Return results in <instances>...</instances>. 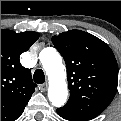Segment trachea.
Returning a JSON list of instances; mask_svg holds the SVG:
<instances>
[{
  "mask_svg": "<svg viewBox=\"0 0 121 121\" xmlns=\"http://www.w3.org/2000/svg\"><path fill=\"white\" fill-rule=\"evenodd\" d=\"M33 77H34V82L37 84H42L45 81V75L42 69H37L34 72Z\"/></svg>",
  "mask_w": 121,
  "mask_h": 121,
  "instance_id": "trachea-1",
  "label": "trachea"
}]
</instances>
